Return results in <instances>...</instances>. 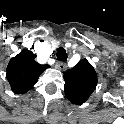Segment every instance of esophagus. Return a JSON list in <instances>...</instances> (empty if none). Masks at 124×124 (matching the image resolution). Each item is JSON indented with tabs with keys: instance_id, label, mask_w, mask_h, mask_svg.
<instances>
[{
	"instance_id": "obj_1",
	"label": "esophagus",
	"mask_w": 124,
	"mask_h": 124,
	"mask_svg": "<svg viewBox=\"0 0 124 124\" xmlns=\"http://www.w3.org/2000/svg\"><path fill=\"white\" fill-rule=\"evenodd\" d=\"M58 67H59L60 70L65 71L67 69V64L61 63V64H59Z\"/></svg>"
}]
</instances>
